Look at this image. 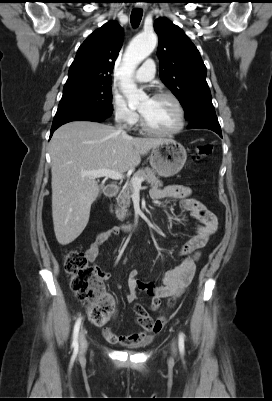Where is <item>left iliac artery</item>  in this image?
I'll return each mask as SVG.
<instances>
[{
    "mask_svg": "<svg viewBox=\"0 0 272 401\" xmlns=\"http://www.w3.org/2000/svg\"><path fill=\"white\" fill-rule=\"evenodd\" d=\"M179 349H180V352H184V334L183 333H180L179 334Z\"/></svg>",
    "mask_w": 272,
    "mask_h": 401,
    "instance_id": "1",
    "label": "left iliac artery"
}]
</instances>
